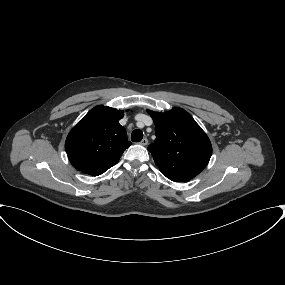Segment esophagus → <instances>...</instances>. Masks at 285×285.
<instances>
[{"label": "esophagus", "instance_id": "esophagus-1", "mask_svg": "<svg viewBox=\"0 0 285 285\" xmlns=\"http://www.w3.org/2000/svg\"><path fill=\"white\" fill-rule=\"evenodd\" d=\"M141 145L146 146L148 144V139L147 138H143L140 142Z\"/></svg>", "mask_w": 285, "mask_h": 285}]
</instances>
